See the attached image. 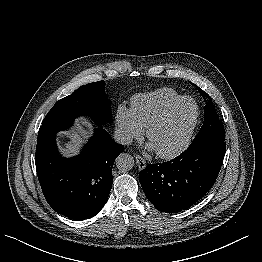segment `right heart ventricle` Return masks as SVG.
Wrapping results in <instances>:
<instances>
[{"instance_id":"1","label":"right heart ventricle","mask_w":262,"mask_h":262,"mask_svg":"<svg viewBox=\"0 0 262 262\" xmlns=\"http://www.w3.org/2000/svg\"><path fill=\"white\" fill-rule=\"evenodd\" d=\"M182 97L170 88L137 94L132 98L131 112L138 124L147 129L165 108Z\"/></svg>"}]
</instances>
